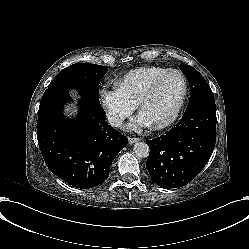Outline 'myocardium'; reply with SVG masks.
<instances>
[{
	"label": "myocardium",
	"mask_w": 249,
	"mask_h": 249,
	"mask_svg": "<svg viewBox=\"0 0 249 249\" xmlns=\"http://www.w3.org/2000/svg\"><path fill=\"white\" fill-rule=\"evenodd\" d=\"M173 77H177L181 83V94L179 100L171 114V116L164 122L153 123L149 122L143 117V110L145 106L156 96L159 90L164 87ZM186 95V82L183 74L180 71L174 70L165 74L158 82L151 88V90L145 95L143 100L139 103L137 109V116L142 120V122L149 128L162 129L169 126L178 116L180 109L183 105Z\"/></svg>",
	"instance_id": "obj_1"
}]
</instances>
